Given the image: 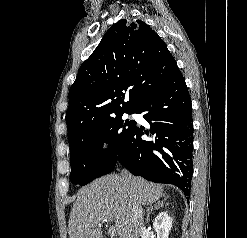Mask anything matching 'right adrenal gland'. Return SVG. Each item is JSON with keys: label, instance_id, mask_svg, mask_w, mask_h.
Wrapping results in <instances>:
<instances>
[{"label": "right adrenal gland", "instance_id": "2a0ac1e0", "mask_svg": "<svg viewBox=\"0 0 247 238\" xmlns=\"http://www.w3.org/2000/svg\"><path fill=\"white\" fill-rule=\"evenodd\" d=\"M165 200L166 199H164L163 201H159L157 204H155L154 205V207L153 206H149V207H147V216H146V223H148L149 222V218H150V214H151V212L154 210V209H159L160 207H164V202H165ZM166 205H168V203L166 204Z\"/></svg>", "mask_w": 247, "mask_h": 238}]
</instances>
